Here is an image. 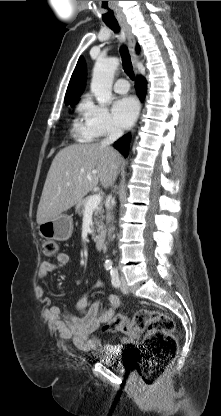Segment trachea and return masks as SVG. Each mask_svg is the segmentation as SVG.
I'll use <instances>...</instances> for the list:
<instances>
[{
  "instance_id": "1",
  "label": "trachea",
  "mask_w": 221,
  "mask_h": 416,
  "mask_svg": "<svg viewBox=\"0 0 221 416\" xmlns=\"http://www.w3.org/2000/svg\"><path fill=\"white\" fill-rule=\"evenodd\" d=\"M106 25L116 33H118L120 31V27H119L117 22L106 23ZM120 54H121V57H122L123 69H124L125 73L132 80H134L135 77H134L133 66H132V62H131V59H130V54H129L128 49H127L126 46H122L120 48Z\"/></svg>"
}]
</instances>
